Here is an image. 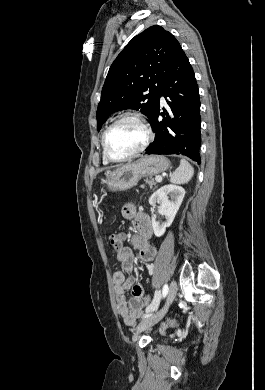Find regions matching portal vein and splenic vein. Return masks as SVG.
<instances>
[{"instance_id": "18ae733b", "label": "portal vein and splenic vein", "mask_w": 265, "mask_h": 390, "mask_svg": "<svg viewBox=\"0 0 265 390\" xmlns=\"http://www.w3.org/2000/svg\"><path fill=\"white\" fill-rule=\"evenodd\" d=\"M155 180H156L157 182H161V181H162V177H161V176H157V177L155 178Z\"/></svg>"}]
</instances>
